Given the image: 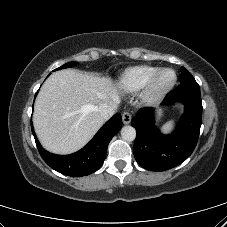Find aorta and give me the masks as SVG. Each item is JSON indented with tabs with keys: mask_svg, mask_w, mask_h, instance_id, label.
<instances>
[{
	"mask_svg": "<svg viewBox=\"0 0 227 227\" xmlns=\"http://www.w3.org/2000/svg\"><path fill=\"white\" fill-rule=\"evenodd\" d=\"M121 136L125 141H133L136 137V130L132 126H124L121 129Z\"/></svg>",
	"mask_w": 227,
	"mask_h": 227,
	"instance_id": "762f6f07",
	"label": "aorta"
}]
</instances>
